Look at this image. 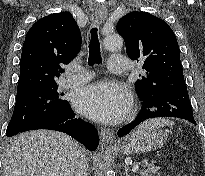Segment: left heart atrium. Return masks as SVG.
Instances as JSON below:
<instances>
[{
	"mask_svg": "<svg viewBox=\"0 0 205 176\" xmlns=\"http://www.w3.org/2000/svg\"><path fill=\"white\" fill-rule=\"evenodd\" d=\"M131 104L132 97L124 86L107 81L82 88L74 101L80 113L104 123L123 118Z\"/></svg>",
	"mask_w": 205,
	"mask_h": 176,
	"instance_id": "39dd6f15",
	"label": "left heart atrium"
}]
</instances>
